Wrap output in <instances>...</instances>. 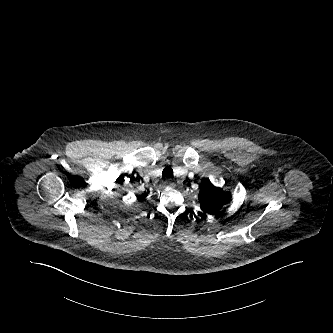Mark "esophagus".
Returning <instances> with one entry per match:
<instances>
[{
  "label": "esophagus",
  "instance_id": "1",
  "mask_svg": "<svg viewBox=\"0 0 333 333\" xmlns=\"http://www.w3.org/2000/svg\"><path fill=\"white\" fill-rule=\"evenodd\" d=\"M165 185L168 186V187H174L175 186L174 182L169 178L166 179Z\"/></svg>",
  "mask_w": 333,
  "mask_h": 333
}]
</instances>
